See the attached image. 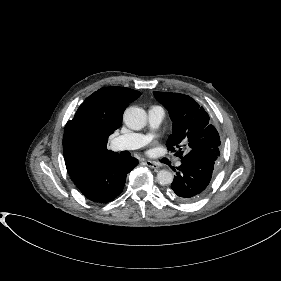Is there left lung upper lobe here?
Masks as SVG:
<instances>
[{
    "label": "left lung upper lobe",
    "instance_id": "left-lung-upper-lobe-1",
    "mask_svg": "<svg viewBox=\"0 0 281 281\" xmlns=\"http://www.w3.org/2000/svg\"><path fill=\"white\" fill-rule=\"evenodd\" d=\"M155 98L168 110L172 120V134L167 141L171 152L184 158L194 148H219L220 138L210 124L208 113L191 97L169 92H153Z\"/></svg>",
    "mask_w": 281,
    "mask_h": 281
}]
</instances>
